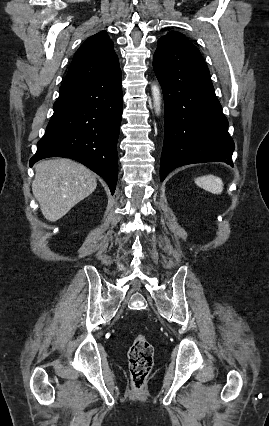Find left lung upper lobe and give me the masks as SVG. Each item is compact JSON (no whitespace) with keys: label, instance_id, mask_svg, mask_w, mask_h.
Segmentation results:
<instances>
[{"label":"left lung upper lobe","instance_id":"obj_1","mask_svg":"<svg viewBox=\"0 0 269 426\" xmlns=\"http://www.w3.org/2000/svg\"><path fill=\"white\" fill-rule=\"evenodd\" d=\"M160 39L175 41V42L191 43L186 36H184L183 34L179 32H169L165 36H162Z\"/></svg>","mask_w":269,"mask_h":426}]
</instances>
